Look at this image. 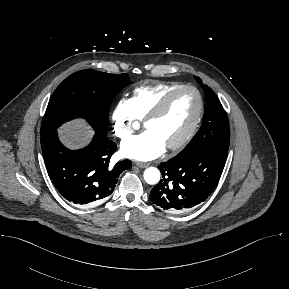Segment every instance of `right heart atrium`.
I'll return each instance as SVG.
<instances>
[{
	"mask_svg": "<svg viewBox=\"0 0 289 289\" xmlns=\"http://www.w3.org/2000/svg\"><path fill=\"white\" fill-rule=\"evenodd\" d=\"M111 119L113 133L117 138L125 139L134 132L137 119L130 99L122 98L116 103Z\"/></svg>",
	"mask_w": 289,
	"mask_h": 289,
	"instance_id": "d8ad5b80",
	"label": "right heart atrium"
}]
</instances>
